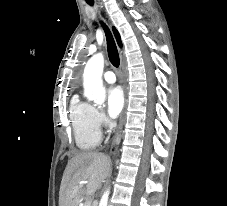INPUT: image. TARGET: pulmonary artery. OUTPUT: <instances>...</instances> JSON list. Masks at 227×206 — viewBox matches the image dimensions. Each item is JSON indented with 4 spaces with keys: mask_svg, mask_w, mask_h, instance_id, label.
<instances>
[{
    "mask_svg": "<svg viewBox=\"0 0 227 206\" xmlns=\"http://www.w3.org/2000/svg\"><path fill=\"white\" fill-rule=\"evenodd\" d=\"M103 78L107 83H110V84H112L116 81V76H115L114 72H112L110 70L106 71L104 73Z\"/></svg>",
    "mask_w": 227,
    "mask_h": 206,
    "instance_id": "pulmonary-artery-1",
    "label": "pulmonary artery"
}]
</instances>
